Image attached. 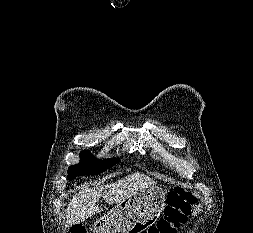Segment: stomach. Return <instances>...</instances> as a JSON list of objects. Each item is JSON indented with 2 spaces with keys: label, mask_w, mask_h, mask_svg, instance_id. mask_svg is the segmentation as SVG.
I'll return each mask as SVG.
<instances>
[{
  "label": "stomach",
  "mask_w": 253,
  "mask_h": 233,
  "mask_svg": "<svg viewBox=\"0 0 253 233\" xmlns=\"http://www.w3.org/2000/svg\"><path fill=\"white\" fill-rule=\"evenodd\" d=\"M165 205V192L154 185L142 188L118 203L96 222L97 233H141L159 218Z\"/></svg>",
  "instance_id": "obj_1"
}]
</instances>
